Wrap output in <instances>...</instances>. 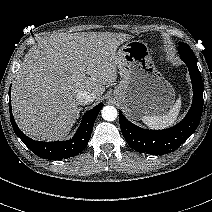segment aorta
<instances>
[{"instance_id":"762f6f07","label":"aorta","mask_w":212,"mask_h":212,"mask_svg":"<svg viewBox=\"0 0 212 212\" xmlns=\"http://www.w3.org/2000/svg\"><path fill=\"white\" fill-rule=\"evenodd\" d=\"M101 115L106 121H114L118 116V112L114 106L109 105L102 108Z\"/></svg>"}]
</instances>
